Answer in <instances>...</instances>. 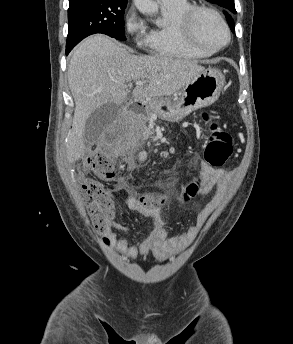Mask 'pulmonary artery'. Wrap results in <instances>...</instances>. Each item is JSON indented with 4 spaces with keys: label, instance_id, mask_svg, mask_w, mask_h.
I'll use <instances>...</instances> for the list:
<instances>
[{
    "label": "pulmonary artery",
    "instance_id": "obj_1",
    "mask_svg": "<svg viewBox=\"0 0 293 344\" xmlns=\"http://www.w3.org/2000/svg\"><path fill=\"white\" fill-rule=\"evenodd\" d=\"M161 1V3H163V4H167V3H172V2H174V1H176V0H160Z\"/></svg>",
    "mask_w": 293,
    "mask_h": 344
}]
</instances>
